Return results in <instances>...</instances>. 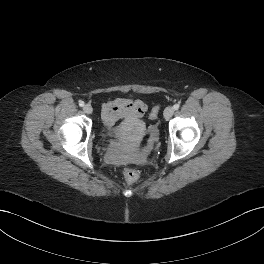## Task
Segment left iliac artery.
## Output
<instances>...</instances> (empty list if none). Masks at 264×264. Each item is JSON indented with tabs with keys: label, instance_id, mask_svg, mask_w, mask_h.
<instances>
[{
	"label": "left iliac artery",
	"instance_id": "1",
	"mask_svg": "<svg viewBox=\"0 0 264 264\" xmlns=\"http://www.w3.org/2000/svg\"><path fill=\"white\" fill-rule=\"evenodd\" d=\"M179 107H180V105H179V104H175V105L173 106L174 110H178V109H179Z\"/></svg>",
	"mask_w": 264,
	"mask_h": 264
}]
</instances>
